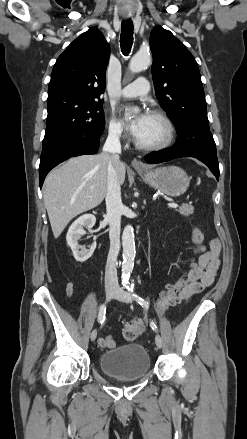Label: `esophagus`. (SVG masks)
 <instances>
[{
    "instance_id": "34e87169",
    "label": "esophagus",
    "mask_w": 247,
    "mask_h": 439,
    "mask_svg": "<svg viewBox=\"0 0 247 439\" xmlns=\"http://www.w3.org/2000/svg\"><path fill=\"white\" fill-rule=\"evenodd\" d=\"M132 167L134 168V169H145L146 167H145V165L143 164V162H141L140 160H138V159H136V158H134L133 160H132Z\"/></svg>"
}]
</instances>
